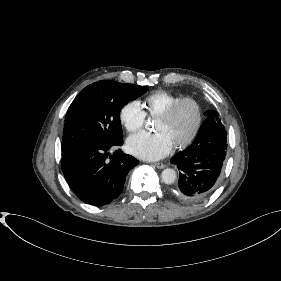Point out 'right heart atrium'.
Wrapping results in <instances>:
<instances>
[{"instance_id":"1","label":"right heart atrium","mask_w":281,"mask_h":281,"mask_svg":"<svg viewBox=\"0 0 281 281\" xmlns=\"http://www.w3.org/2000/svg\"><path fill=\"white\" fill-rule=\"evenodd\" d=\"M119 121L130 133L139 131L145 122V113L137 101H128L119 110Z\"/></svg>"}]
</instances>
